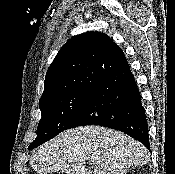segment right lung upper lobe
Segmentation results:
<instances>
[{"label": "right lung upper lobe", "mask_w": 175, "mask_h": 174, "mask_svg": "<svg viewBox=\"0 0 175 174\" xmlns=\"http://www.w3.org/2000/svg\"><path fill=\"white\" fill-rule=\"evenodd\" d=\"M127 64L122 49L106 34L77 35L61 48L51 63L40 101L67 91L94 87Z\"/></svg>", "instance_id": "cb5924a9"}]
</instances>
